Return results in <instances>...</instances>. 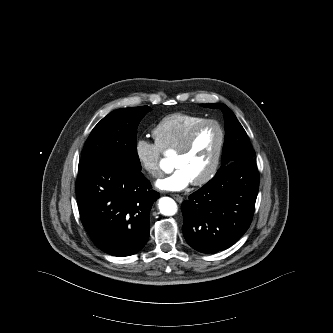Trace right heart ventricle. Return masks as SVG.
I'll return each instance as SVG.
<instances>
[{
	"instance_id": "right-heart-ventricle-1",
	"label": "right heart ventricle",
	"mask_w": 333,
	"mask_h": 333,
	"mask_svg": "<svg viewBox=\"0 0 333 333\" xmlns=\"http://www.w3.org/2000/svg\"><path fill=\"white\" fill-rule=\"evenodd\" d=\"M203 120V116L186 113L167 115L154 127L153 137L161 151H176L190 130Z\"/></svg>"
}]
</instances>
